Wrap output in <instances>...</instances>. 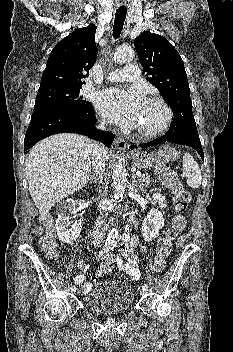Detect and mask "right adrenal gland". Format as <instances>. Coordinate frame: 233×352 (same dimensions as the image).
Here are the masks:
<instances>
[{"mask_svg":"<svg viewBox=\"0 0 233 352\" xmlns=\"http://www.w3.org/2000/svg\"><path fill=\"white\" fill-rule=\"evenodd\" d=\"M86 182H89L90 184L97 183V179L94 175H91L90 177L87 178Z\"/></svg>","mask_w":233,"mask_h":352,"instance_id":"right-adrenal-gland-1","label":"right adrenal gland"}]
</instances>
